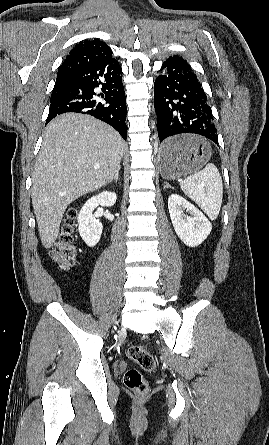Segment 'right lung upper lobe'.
Here are the masks:
<instances>
[{
	"label": "right lung upper lobe",
	"instance_id": "cb5924a9",
	"mask_svg": "<svg viewBox=\"0 0 269 445\" xmlns=\"http://www.w3.org/2000/svg\"><path fill=\"white\" fill-rule=\"evenodd\" d=\"M111 57V49L99 39L80 42L70 51L60 66L54 87L63 85L84 68Z\"/></svg>",
	"mask_w": 269,
	"mask_h": 445
}]
</instances>
